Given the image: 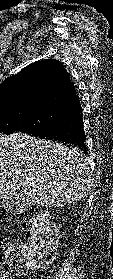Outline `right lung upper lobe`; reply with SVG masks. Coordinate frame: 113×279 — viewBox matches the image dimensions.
<instances>
[{
	"instance_id": "cb5924a9",
	"label": "right lung upper lobe",
	"mask_w": 113,
	"mask_h": 279,
	"mask_svg": "<svg viewBox=\"0 0 113 279\" xmlns=\"http://www.w3.org/2000/svg\"><path fill=\"white\" fill-rule=\"evenodd\" d=\"M79 105L75 86L59 60L32 63L0 84V110L46 107L71 111Z\"/></svg>"
}]
</instances>
